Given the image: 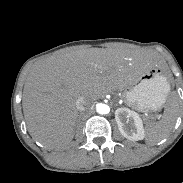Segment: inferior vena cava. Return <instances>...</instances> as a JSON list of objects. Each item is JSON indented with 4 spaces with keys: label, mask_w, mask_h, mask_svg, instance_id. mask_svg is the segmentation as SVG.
I'll return each mask as SVG.
<instances>
[{
    "label": "inferior vena cava",
    "mask_w": 183,
    "mask_h": 183,
    "mask_svg": "<svg viewBox=\"0 0 183 183\" xmlns=\"http://www.w3.org/2000/svg\"><path fill=\"white\" fill-rule=\"evenodd\" d=\"M86 106H87V101L85 100V98L83 97L78 98V100L76 101L77 110L84 111Z\"/></svg>",
    "instance_id": "602c4592"
}]
</instances>
